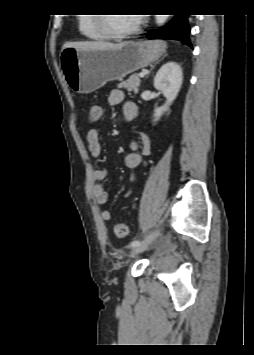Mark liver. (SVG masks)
Wrapping results in <instances>:
<instances>
[{"instance_id":"6515ba94","label":"liver","mask_w":254,"mask_h":355,"mask_svg":"<svg viewBox=\"0 0 254 355\" xmlns=\"http://www.w3.org/2000/svg\"><path fill=\"white\" fill-rule=\"evenodd\" d=\"M124 43L114 44L105 41H82L65 43L62 49L72 47L79 50L113 49L121 47Z\"/></svg>"}]
</instances>
